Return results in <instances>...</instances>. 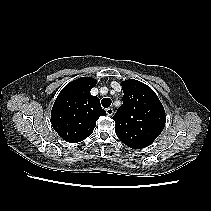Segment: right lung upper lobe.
<instances>
[{
	"label": "right lung upper lobe",
	"mask_w": 211,
	"mask_h": 211,
	"mask_svg": "<svg viewBox=\"0 0 211 211\" xmlns=\"http://www.w3.org/2000/svg\"><path fill=\"white\" fill-rule=\"evenodd\" d=\"M97 80L81 77L66 85L57 96L52 112L51 124L65 141L77 143L90 136L96 121L106 112L100 100L90 94Z\"/></svg>",
	"instance_id": "cb5924a9"
}]
</instances>
